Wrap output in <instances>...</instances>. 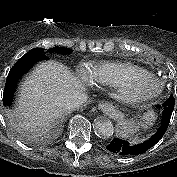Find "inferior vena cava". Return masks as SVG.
Returning <instances> with one entry per match:
<instances>
[{
  "mask_svg": "<svg viewBox=\"0 0 177 177\" xmlns=\"http://www.w3.org/2000/svg\"><path fill=\"white\" fill-rule=\"evenodd\" d=\"M88 100L87 94L82 91L74 92L73 94L66 95L62 98L60 106L64 110H71L81 106Z\"/></svg>",
  "mask_w": 177,
  "mask_h": 177,
  "instance_id": "obj_1",
  "label": "inferior vena cava"
}]
</instances>
